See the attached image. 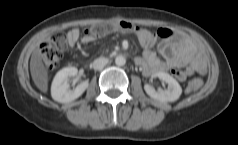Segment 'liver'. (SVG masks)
Listing matches in <instances>:
<instances>
[{
	"label": "liver",
	"mask_w": 238,
	"mask_h": 145,
	"mask_svg": "<svg viewBox=\"0 0 238 145\" xmlns=\"http://www.w3.org/2000/svg\"><path fill=\"white\" fill-rule=\"evenodd\" d=\"M30 72L37 88L46 93L48 90V71L42 62L41 50L36 48L30 59Z\"/></svg>",
	"instance_id": "liver-1"
}]
</instances>
